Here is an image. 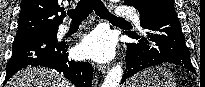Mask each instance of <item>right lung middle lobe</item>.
<instances>
[{"instance_id":"obj_1","label":"right lung middle lobe","mask_w":205,"mask_h":87,"mask_svg":"<svg viewBox=\"0 0 205 87\" xmlns=\"http://www.w3.org/2000/svg\"><path fill=\"white\" fill-rule=\"evenodd\" d=\"M57 29L45 30V32H55Z\"/></svg>"}]
</instances>
